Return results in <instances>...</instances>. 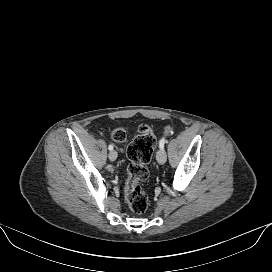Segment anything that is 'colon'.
Masks as SVG:
<instances>
[{
	"label": "colon",
	"instance_id": "colon-1",
	"mask_svg": "<svg viewBox=\"0 0 272 272\" xmlns=\"http://www.w3.org/2000/svg\"><path fill=\"white\" fill-rule=\"evenodd\" d=\"M170 128L164 130L169 134ZM112 140L122 142L126 138V129L116 128L111 133ZM156 146V138L152 129L148 125H141L138 134L127 147V157L130 161L128 165V177L124 187L125 199L130 209L136 214H143L148 208V198L140 183L145 181L149 172L146 167L152 158Z\"/></svg>",
	"mask_w": 272,
	"mask_h": 272
}]
</instances>
